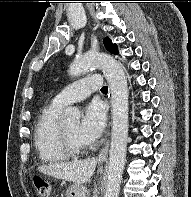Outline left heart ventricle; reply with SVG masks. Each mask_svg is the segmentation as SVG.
Returning <instances> with one entry per match:
<instances>
[{
	"mask_svg": "<svg viewBox=\"0 0 191 197\" xmlns=\"http://www.w3.org/2000/svg\"><path fill=\"white\" fill-rule=\"evenodd\" d=\"M65 131L68 133V135L77 143L82 144L78 138H77V132L79 129V125L78 124H71L68 126L64 127Z\"/></svg>",
	"mask_w": 191,
	"mask_h": 197,
	"instance_id": "left-heart-ventricle-1",
	"label": "left heart ventricle"
}]
</instances>
